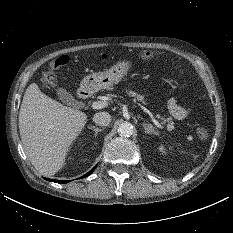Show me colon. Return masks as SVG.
Returning <instances> with one entry per match:
<instances>
[{
  "instance_id": "1",
  "label": "colon",
  "mask_w": 233,
  "mask_h": 233,
  "mask_svg": "<svg viewBox=\"0 0 233 233\" xmlns=\"http://www.w3.org/2000/svg\"><path fill=\"white\" fill-rule=\"evenodd\" d=\"M155 55L156 54L153 51L144 50L138 54V57L143 59V60H150V59L154 58ZM103 58H106V56L104 55ZM69 61H70V59L67 55H61V56L57 57L56 59H54L51 63V68L49 70L43 72L42 77H43L44 82L47 85H53L54 81H55V76H54L52 69L63 67L65 65H67L69 63ZM197 136L201 140H206L209 136V133L205 127L200 126L197 128Z\"/></svg>"
}]
</instances>
